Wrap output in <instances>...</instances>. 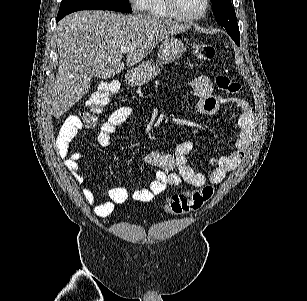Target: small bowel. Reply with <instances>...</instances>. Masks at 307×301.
Wrapping results in <instances>:
<instances>
[{
    "instance_id": "c3829d8e",
    "label": "small bowel",
    "mask_w": 307,
    "mask_h": 301,
    "mask_svg": "<svg viewBox=\"0 0 307 301\" xmlns=\"http://www.w3.org/2000/svg\"><path fill=\"white\" fill-rule=\"evenodd\" d=\"M187 86L199 98L197 108L202 114L213 115L222 105L237 109L238 131L232 150L226 155L209 159L211 171L207 175L196 172L187 164V157L196 149V143L193 141L178 144L174 154L151 151L145 156L144 161L151 166L158 167L159 170L148 188L130 193L126 187H112L108 190V198L104 201H100L92 189L88 187L82 189L83 198L87 203L93 205L96 216L100 218L108 217L118 204L129 198L140 202H149L165 191L169 185L178 186L187 183L201 187L207 181L220 183L227 173L240 165L246 155L253 133V113L250 104L241 97L223 98L214 94L211 82L205 76L191 79ZM131 114L132 108L130 106L116 108L99 129L97 136L99 145L109 147L112 135ZM81 128L79 116H70L61 126L56 141L58 155L65 160L66 168L72 173L78 184L84 182V178L79 172L81 155L77 150L71 148V142Z\"/></svg>"
}]
</instances>
